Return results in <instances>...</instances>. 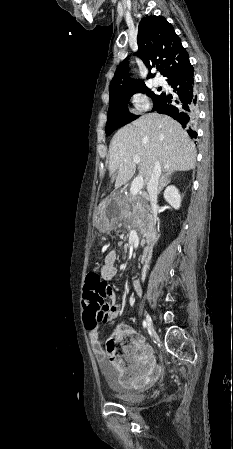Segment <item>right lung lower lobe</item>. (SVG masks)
Masks as SVG:
<instances>
[{
  "mask_svg": "<svg viewBox=\"0 0 233 449\" xmlns=\"http://www.w3.org/2000/svg\"><path fill=\"white\" fill-rule=\"evenodd\" d=\"M168 84L174 89V95L163 93L153 109L177 120L186 132L197 137L193 129L197 119V96L194 89L193 67L190 62L168 77Z\"/></svg>",
  "mask_w": 233,
  "mask_h": 449,
  "instance_id": "1",
  "label": "right lung lower lobe"
}]
</instances>
